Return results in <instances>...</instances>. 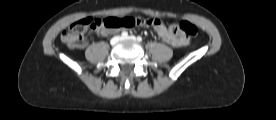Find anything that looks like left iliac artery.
I'll list each match as a JSON object with an SVG mask.
<instances>
[{"instance_id": "obj_1", "label": "left iliac artery", "mask_w": 276, "mask_h": 120, "mask_svg": "<svg viewBox=\"0 0 276 120\" xmlns=\"http://www.w3.org/2000/svg\"><path fill=\"white\" fill-rule=\"evenodd\" d=\"M137 41L141 42V41H142V37H141V36H138V37H137Z\"/></svg>"}]
</instances>
